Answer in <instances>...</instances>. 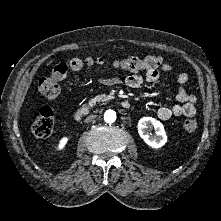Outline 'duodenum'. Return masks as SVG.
Wrapping results in <instances>:
<instances>
[{
    "mask_svg": "<svg viewBox=\"0 0 221 221\" xmlns=\"http://www.w3.org/2000/svg\"><path fill=\"white\" fill-rule=\"evenodd\" d=\"M120 104H121L122 108H124V109H129L130 106H131V104H130V102H129L128 100H122V101L120 102ZM90 113H91V108H90V106L87 105V104H85V105H82L81 107H79V108L75 111V113H74V118H75L76 120H80L82 117H84V116H86V115H88V114H90Z\"/></svg>",
    "mask_w": 221,
    "mask_h": 221,
    "instance_id": "1",
    "label": "duodenum"
}]
</instances>
